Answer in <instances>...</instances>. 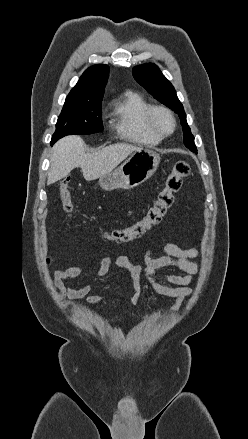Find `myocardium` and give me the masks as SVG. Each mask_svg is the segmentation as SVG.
Returning <instances> with one entry per match:
<instances>
[{"instance_id":"f54148a6","label":"myocardium","mask_w":248,"mask_h":439,"mask_svg":"<svg viewBox=\"0 0 248 439\" xmlns=\"http://www.w3.org/2000/svg\"><path fill=\"white\" fill-rule=\"evenodd\" d=\"M160 113L165 114L171 122V129L168 132H164V131L160 130L158 125H157L156 119H157L158 114H160ZM147 118H148V124H149L151 130L154 133H156L158 136H160L161 138H165V137L172 135L176 129L175 116H174L173 112L165 106H162V105L152 106L148 112Z\"/></svg>"}]
</instances>
